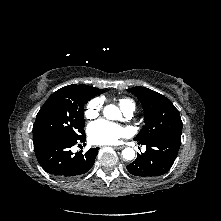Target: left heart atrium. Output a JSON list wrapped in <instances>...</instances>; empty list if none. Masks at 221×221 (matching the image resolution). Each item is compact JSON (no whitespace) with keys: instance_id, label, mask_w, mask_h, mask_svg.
Instances as JSON below:
<instances>
[{"instance_id":"39dd6f15","label":"left heart atrium","mask_w":221,"mask_h":221,"mask_svg":"<svg viewBox=\"0 0 221 221\" xmlns=\"http://www.w3.org/2000/svg\"><path fill=\"white\" fill-rule=\"evenodd\" d=\"M127 133L121 125L106 120L92 123L88 128V136L92 143L110 145L116 143Z\"/></svg>"}]
</instances>
